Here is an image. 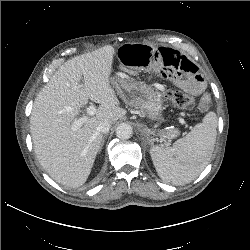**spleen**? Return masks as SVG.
<instances>
[{"label":"spleen","instance_id":"obj_1","mask_svg":"<svg viewBox=\"0 0 250 250\" xmlns=\"http://www.w3.org/2000/svg\"><path fill=\"white\" fill-rule=\"evenodd\" d=\"M217 116L209 112L184 138L173 146H152L150 155L159 177L175 185L190 183L204 170L212 156Z\"/></svg>","mask_w":250,"mask_h":250}]
</instances>
